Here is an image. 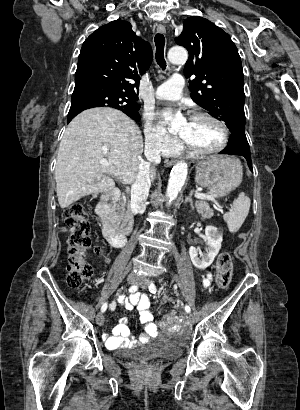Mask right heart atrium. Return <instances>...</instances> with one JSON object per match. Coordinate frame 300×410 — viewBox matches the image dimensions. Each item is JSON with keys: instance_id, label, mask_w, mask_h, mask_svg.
Instances as JSON below:
<instances>
[{"instance_id": "1", "label": "right heart atrium", "mask_w": 300, "mask_h": 410, "mask_svg": "<svg viewBox=\"0 0 300 410\" xmlns=\"http://www.w3.org/2000/svg\"><path fill=\"white\" fill-rule=\"evenodd\" d=\"M144 139L145 148L150 154L169 155L179 147V142L175 137L149 119H145Z\"/></svg>"}]
</instances>
